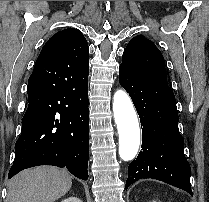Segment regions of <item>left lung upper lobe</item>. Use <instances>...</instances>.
I'll list each match as a JSON object with an SVG mask.
<instances>
[{
    "instance_id": "obj_1",
    "label": "left lung upper lobe",
    "mask_w": 209,
    "mask_h": 202,
    "mask_svg": "<svg viewBox=\"0 0 209 202\" xmlns=\"http://www.w3.org/2000/svg\"><path fill=\"white\" fill-rule=\"evenodd\" d=\"M120 68L167 85L164 57L155 44L144 36L138 35L130 40L123 52Z\"/></svg>"
}]
</instances>
